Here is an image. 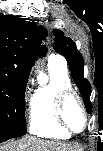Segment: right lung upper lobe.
I'll return each instance as SVG.
<instances>
[{"mask_svg": "<svg viewBox=\"0 0 103 151\" xmlns=\"http://www.w3.org/2000/svg\"><path fill=\"white\" fill-rule=\"evenodd\" d=\"M20 16L0 15V72L27 79L37 56L47 49L40 46L47 35L43 26Z\"/></svg>", "mask_w": 103, "mask_h": 151, "instance_id": "1", "label": "right lung upper lobe"}]
</instances>
